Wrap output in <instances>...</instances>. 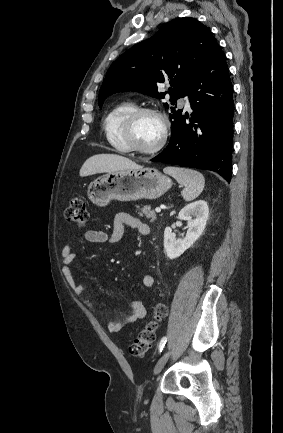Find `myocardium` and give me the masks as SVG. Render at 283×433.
Masks as SVG:
<instances>
[{
	"instance_id": "myocardium-1",
	"label": "myocardium",
	"mask_w": 283,
	"mask_h": 433,
	"mask_svg": "<svg viewBox=\"0 0 283 433\" xmlns=\"http://www.w3.org/2000/svg\"><path fill=\"white\" fill-rule=\"evenodd\" d=\"M146 114H153L161 119L163 131L158 145L152 150H145L139 147L134 139V130L138 119ZM170 131V121L167 115L155 107L142 106L130 111L123 120L121 127V139L129 151L142 157H156L161 154L166 147Z\"/></svg>"
}]
</instances>
